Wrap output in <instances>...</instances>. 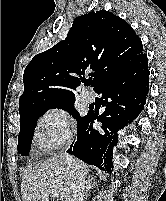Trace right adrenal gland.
Wrapping results in <instances>:
<instances>
[{"label":"right adrenal gland","instance_id":"1","mask_svg":"<svg viewBox=\"0 0 166 201\" xmlns=\"http://www.w3.org/2000/svg\"><path fill=\"white\" fill-rule=\"evenodd\" d=\"M97 184L95 177L89 176L88 180L86 181V188L84 192V199L88 197L89 190Z\"/></svg>","mask_w":166,"mask_h":201}]
</instances>
